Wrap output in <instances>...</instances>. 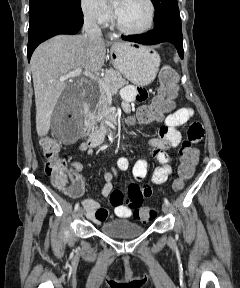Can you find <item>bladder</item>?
I'll return each mask as SVG.
<instances>
[{
	"label": "bladder",
	"mask_w": 240,
	"mask_h": 288,
	"mask_svg": "<svg viewBox=\"0 0 240 288\" xmlns=\"http://www.w3.org/2000/svg\"><path fill=\"white\" fill-rule=\"evenodd\" d=\"M144 227L130 220H112L101 226L100 231L112 238H134L144 232Z\"/></svg>",
	"instance_id": "31cf9c89"
}]
</instances>
